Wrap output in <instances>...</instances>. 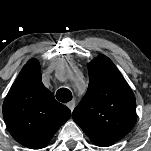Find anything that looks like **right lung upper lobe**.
Here are the masks:
<instances>
[{"mask_svg": "<svg viewBox=\"0 0 151 151\" xmlns=\"http://www.w3.org/2000/svg\"><path fill=\"white\" fill-rule=\"evenodd\" d=\"M70 115L71 111L43 85L38 60H29L3 103V117L11 135L25 147L44 148Z\"/></svg>", "mask_w": 151, "mask_h": 151, "instance_id": "right-lung-upper-lobe-1", "label": "right lung upper lobe"}]
</instances>
